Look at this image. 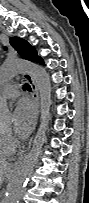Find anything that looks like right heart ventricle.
<instances>
[{
    "label": "right heart ventricle",
    "mask_w": 89,
    "mask_h": 203,
    "mask_svg": "<svg viewBox=\"0 0 89 203\" xmlns=\"http://www.w3.org/2000/svg\"><path fill=\"white\" fill-rule=\"evenodd\" d=\"M7 138L3 133L0 134V160L7 159L14 151L13 146L8 142Z\"/></svg>",
    "instance_id": "right-heart-ventricle-1"
}]
</instances>
